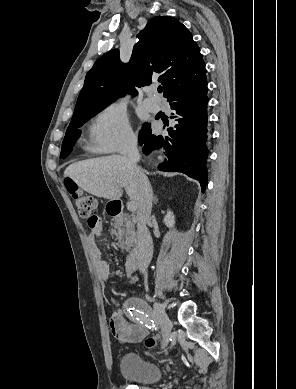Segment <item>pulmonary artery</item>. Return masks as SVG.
Instances as JSON below:
<instances>
[{"label": "pulmonary artery", "mask_w": 296, "mask_h": 389, "mask_svg": "<svg viewBox=\"0 0 296 389\" xmlns=\"http://www.w3.org/2000/svg\"><path fill=\"white\" fill-rule=\"evenodd\" d=\"M143 105L151 112H158L160 110V103L156 96L147 97L143 100Z\"/></svg>", "instance_id": "obj_1"}]
</instances>
